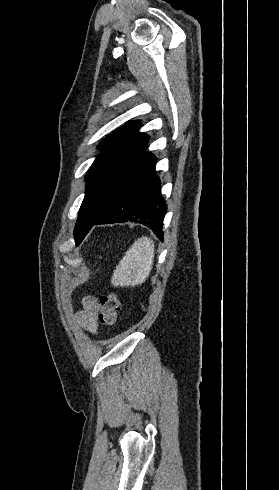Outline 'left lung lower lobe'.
<instances>
[{
  "label": "left lung lower lobe",
  "instance_id": "obj_1",
  "mask_svg": "<svg viewBox=\"0 0 279 490\" xmlns=\"http://www.w3.org/2000/svg\"><path fill=\"white\" fill-rule=\"evenodd\" d=\"M155 163L156 157L145 153L122 185L111 209L94 225L133 221L149 227L163 241L162 226L167 205L161 197Z\"/></svg>",
  "mask_w": 279,
  "mask_h": 490
}]
</instances>
